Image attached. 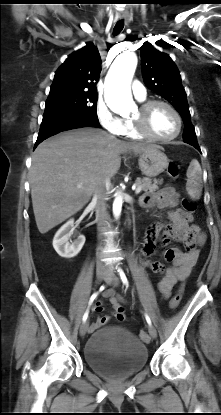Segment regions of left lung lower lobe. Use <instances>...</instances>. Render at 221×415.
Here are the masks:
<instances>
[{"instance_id": "1", "label": "left lung lower lobe", "mask_w": 221, "mask_h": 415, "mask_svg": "<svg viewBox=\"0 0 221 415\" xmlns=\"http://www.w3.org/2000/svg\"><path fill=\"white\" fill-rule=\"evenodd\" d=\"M183 140H184V142L194 146L196 149L201 151L196 138L191 137V138H186V139H183Z\"/></svg>"}]
</instances>
